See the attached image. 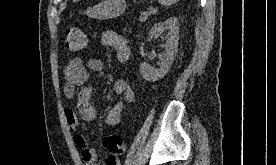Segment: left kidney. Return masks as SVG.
Here are the masks:
<instances>
[{"label":"left kidney","instance_id":"obj_1","mask_svg":"<svg viewBox=\"0 0 276 165\" xmlns=\"http://www.w3.org/2000/svg\"><path fill=\"white\" fill-rule=\"evenodd\" d=\"M167 32L166 42L161 45L165 48V52L161 58L158 68L152 67L146 62L140 64V72L142 77L147 81L155 82L163 78L169 71L171 64L177 54L179 41V22L176 17H170L164 22L154 24L149 31V36L154 37L158 33Z\"/></svg>","mask_w":276,"mask_h":165}]
</instances>
